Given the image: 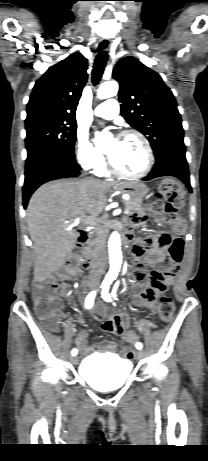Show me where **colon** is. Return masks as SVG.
Segmentation results:
<instances>
[{
  "label": "colon",
  "instance_id": "5ec220e1",
  "mask_svg": "<svg viewBox=\"0 0 208 461\" xmlns=\"http://www.w3.org/2000/svg\"><path fill=\"white\" fill-rule=\"evenodd\" d=\"M181 194L180 185L174 180L166 179L161 182L155 194V201L147 207V210L152 215L163 213L171 219H178ZM57 287L58 284L50 277L33 285L32 299L36 312L50 331H56L58 328L60 300L57 296ZM174 311V300L169 296L162 297L158 306L160 320L165 323L171 322ZM134 345V340H125L124 345L121 346L126 360L134 358V350L130 349Z\"/></svg>",
  "mask_w": 208,
  "mask_h": 461
}]
</instances>
